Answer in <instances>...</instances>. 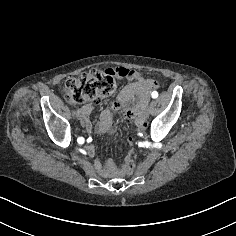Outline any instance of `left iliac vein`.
<instances>
[{
    "mask_svg": "<svg viewBox=\"0 0 236 236\" xmlns=\"http://www.w3.org/2000/svg\"><path fill=\"white\" fill-rule=\"evenodd\" d=\"M151 112H152V106H151V105H148V106H147V111H146L145 115L148 117Z\"/></svg>",
    "mask_w": 236,
    "mask_h": 236,
    "instance_id": "obj_1",
    "label": "left iliac vein"
}]
</instances>
